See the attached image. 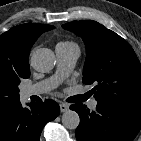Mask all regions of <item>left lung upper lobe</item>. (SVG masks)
I'll return each mask as SVG.
<instances>
[{
  "instance_id": "5c2ea615",
  "label": "left lung upper lobe",
  "mask_w": 141,
  "mask_h": 141,
  "mask_svg": "<svg viewBox=\"0 0 141 141\" xmlns=\"http://www.w3.org/2000/svg\"><path fill=\"white\" fill-rule=\"evenodd\" d=\"M86 45L83 83L98 103L141 112V66L132 47L122 37L92 20L62 25Z\"/></svg>"
}]
</instances>
